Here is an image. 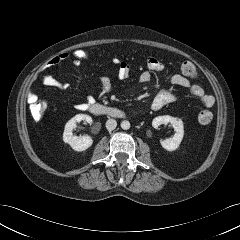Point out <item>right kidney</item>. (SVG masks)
Masks as SVG:
<instances>
[{"label": "right kidney", "instance_id": "right-kidney-1", "mask_svg": "<svg viewBox=\"0 0 240 240\" xmlns=\"http://www.w3.org/2000/svg\"><path fill=\"white\" fill-rule=\"evenodd\" d=\"M80 121H86L87 123H92V118L86 114H78L71 118L65 125L63 133V141L69 144L74 151H85L92 144L93 140L90 136H75L73 135V129L76 127V123Z\"/></svg>", "mask_w": 240, "mask_h": 240}]
</instances>
